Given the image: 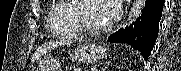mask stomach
<instances>
[{
    "label": "stomach",
    "instance_id": "0dacf381",
    "mask_svg": "<svg viewBox=\"0 0 181 71\" xmlns=\"http://www.w3.org/2000/svg\"><path fill=\"white\" fill-rule=\"evenodd\" d=\"M105 54L106 48L104 46L82 44L77 47L72 58L73 60H78L80 62L93 63L104 57ZM39 67L40 71H55V66H50L46 61H44Z\"/></svg>",
    "mask_w": 181,
    "mask_h": 71
}]
</instances>
